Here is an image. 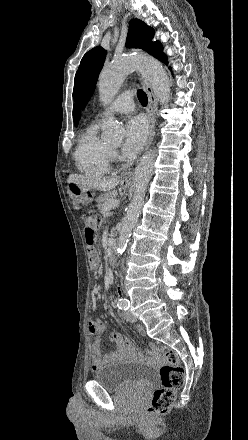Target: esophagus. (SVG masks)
<instances>
[{
    "label": "esophagus",
    "instance_id": "obj_1",
    "mask_svg": "<svg viewBox=\"0 0 248 440\" xmlns=\"http://www.w3.org/2000/svg\"><path fill=\"white\" fill-rule=\"evenodd\" d=\"M140 82L144 88V90L147 93L148 96V106H147V115H148V122H149V136L146 143V148L148 149L151 145L154 135H155V117H154V111L157 106V99L154 94L153 88L149 81L146 79L140 77ZM133 176V171L129 170L122 176L123 180H128Z\"/></svg>",
    "mask_w": 248,
    "mask_h": 440
}]
</instances>
